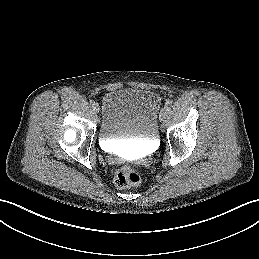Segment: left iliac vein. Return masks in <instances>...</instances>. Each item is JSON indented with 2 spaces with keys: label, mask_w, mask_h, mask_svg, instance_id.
<instances>
[{
  "label": "left iliac vein",
  "mask_w": 259,
  "mask_h": 259,
  "mask_svg": "<svg viewBox=\"0 0 259 259\" xmlns=\"http://www.w3.org/2000/svg\"><path fill=\"white\" fill-rule=\"evenodd\" d=\"M167 114H168V110L163 108L161 111H160V114H159V119L160 121H164L165 118L167 117Z\"/></svg>",
  "instance_id": "4c4485c4"
}]
</instances>
